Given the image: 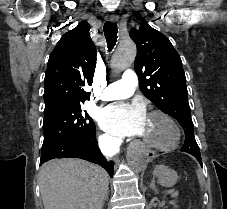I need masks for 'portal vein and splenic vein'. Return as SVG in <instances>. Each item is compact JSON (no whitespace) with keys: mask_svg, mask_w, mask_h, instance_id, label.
<instances>
[{"mask_svg":"<svg viewBox=\"0 0 227 209\" xmlns=\"http://www.w3.org/2000/svg\"><path fill=\"white\" fill-rule=\"evenodd\" d=\"M174 190L172 189H165V190H162L161 192L162 193H165V194H171L172 192H173ZM177 191L175 190L170 196L172 197V198H176L178 195H177Z\"/></svg>","mask_w":227,"mask_h":209,"instance_id":"obj_1","label":"portal vein and splenic vein"}]
</instances>
